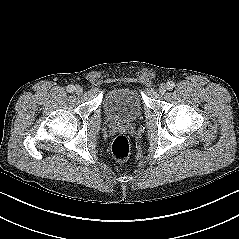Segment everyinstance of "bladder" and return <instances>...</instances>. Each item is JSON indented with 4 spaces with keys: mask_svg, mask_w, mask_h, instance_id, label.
<instances>
[{
    "mask_svg": "<svg viewBox=\"0 0 239 239\" xmlns=\"http://www.w3.org/2000/svg\"><path fill=\"white\" fill-rule=\"evenodd\" d=\"M104 109L110 120L129 123L141 115L142 102L135 89L121 86L105 93Z\"/></svg>",
    "mask_w": 239,
    "mask_h": 239,
    "instance_id": "31cf9c89",
    "label": "bladder"
}]
</instances>
